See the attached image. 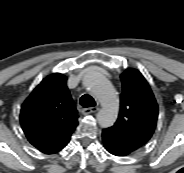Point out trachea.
<instances>
[{
	"label": "trachea",
	"mask_w": 184,
	"mask_h": 173,
	"mask_svg": "<svg viewBox=\"0 0 184 173\" xmlns=\"http://www.w3.org/2000/svg\"><path fill=\"white\" fill-rule=\"evenodd\" d=\"M80 105L83 108H88V107H94L96 105L95 100L93 99L92 96H90L89 94H84L81 98H80Z\"/></svg>",
	"instance_id": "trachea-1"
}]
</instances>
